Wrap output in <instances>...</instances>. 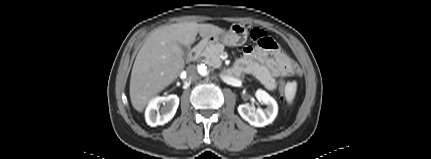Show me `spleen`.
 Listing matches in <instances>:
<instances>
[{
  "instance_id": "spleen-1",
  "label": "spleen",
  "mask_w": 431,
  "mask_h": 159,
  "mask_svg": "<svg viewBox=\"0 0 431 159\" xmlns=\"http://www.w3.org/2000/svg\"><path fill=\"white\" fill-rule=\"evenodd\" d=\"M296 82L289 83L286 87L285 97L289 104L292 103L296 94Z\"/></svg>"
}]
</instances>
